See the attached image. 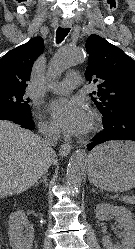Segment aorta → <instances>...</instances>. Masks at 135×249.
<instances>
[{
	"mask_svg": "<svg viewBox=\"0 0 135 249\" xmlns=\"http://www.w3.org/2000/svg\"><path fill=\"white\" fill-rule=\"evenodd\" d=\"M84 59V51L79 47H62L51 60L48 69V76L57 78L69 67L81 63ZM87 164V154L83 149L75 151L69 160L67 167L66 180L67 184L74 191L78 192L84 171Z\"/></svg>",
	"mask_w": 135,
	"mask_h": 249,
	"instance_id": "1",
	"label": "aorta"
}]
</instances>
